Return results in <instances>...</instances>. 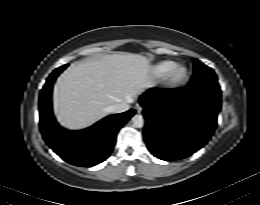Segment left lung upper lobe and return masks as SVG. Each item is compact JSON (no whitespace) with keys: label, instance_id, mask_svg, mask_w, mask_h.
<instances>
[{"label":"left lung upper lobe","instance_id":"1","mask_svg":"<svg viewBox=\"0 0 260 205\" xmlns=\"http://www.w3.org/2000/svg\"><path fill=\"white\" fill-rule=\"evenodd\" d=\"M193 61L194 75L189 83V86L207 88L221 92L217 82V76L214 71L197 59H193Z\"/></svg>","mask_w":260,"mask_h":205}]
</instances>
